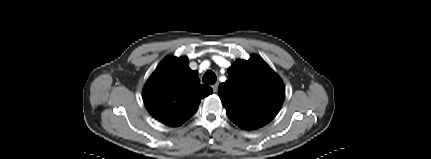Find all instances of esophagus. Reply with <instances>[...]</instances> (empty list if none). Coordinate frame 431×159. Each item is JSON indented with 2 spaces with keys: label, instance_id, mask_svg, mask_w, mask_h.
Returning <instances> with one entry per match:
<instances>
[{
  "label": "esophagus",
  "instance_id": "obj_1",
  "mask_svg": "<svg viewBox=\"0 0 431 159\" xmlns=\"http://www.w3.org/2000/svg\"><path fill=\"white\" fill-rule=\"evenodd\" d=\"M213 92L216 93L218 91V83L212 85Z\"/></svg>",
  "mask_w": 431,
  "mask_h": 159
}]
</instances>
